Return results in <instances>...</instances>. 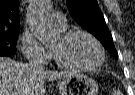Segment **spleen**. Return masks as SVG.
I'll list each match as a JSON object with an SVG mask.
<instances>
[{
    "mask_svg": "<svg viewBox=\"0 0 135 95\" xmlns=\"http://www.w3.org/2000/svg\"><path fill=\"white\" fill-rule=\"evenodd\" d=\"M112 95H122V93L120 92V90H115Z\"/></svg>",
    "mask_w": 135,
    "mask_h": 95,
    "instance_id": "3e777b00",
    "label": "spleen"
}]
</instances>
